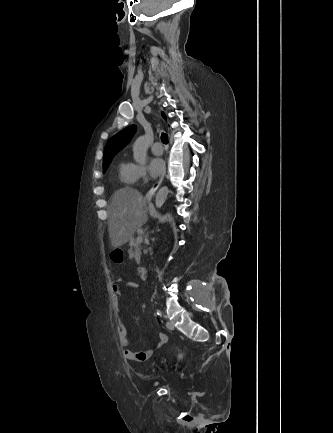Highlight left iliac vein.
Masks as SVG:
<instances>
[{
  "label": "left iliac vein",
  "instance_id": "obj_1",
  "mask_svg": "<svg viewBox=\"0 0 333 433\" xmlns=\"http://www.w3.org/2000/svg\"><path fill=\"white\" fill-rule=\"evenodd\" d=\"M166 326L169 330H173L174 329V324L172 322H167Z\"/></svg>",
  "mask_w": 333,
  "mask_h": 433
}]
</instances>
